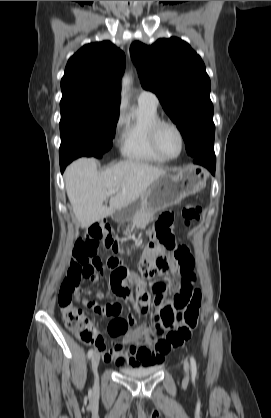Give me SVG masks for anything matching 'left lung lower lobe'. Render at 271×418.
I'll return each instance as SVG.
<instances>
[{
  "label": "left lung lower lobe",
  "instance_id": "1",
  "mask_svg": "<svg viewBox=\"0 0 271 418\" xmlns=\"http://www.w3.org/2000/svg\"><path fill=\"white\" fill-rule=\"evenodd\" d=\"M194 163L203 165L211 171L212 174H215L216 158L214 152L195 158Z\"/></svg>",
  "mask_w": 271,
  "mask_h": 418
}]
</instances>
